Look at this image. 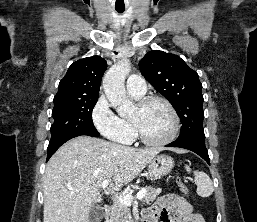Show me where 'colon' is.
Masks as SVG:
<instances>
[{
    "label": "colon",
    "mask_w": 257,
    "mask_h": 222,
    "mask_svg": "<svg viewBox=\"0 0 257 222\" xmlns=\"http://www.w3.org/2000/svg\"><path fill=\"white\" fill-rule=\"evenodd\" d=\"M177 186L182 193L186 194L188 192L187 185L179 178L177 179Z\"/></svg>",
    "instance_id": "1"
}]
</instances>
